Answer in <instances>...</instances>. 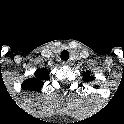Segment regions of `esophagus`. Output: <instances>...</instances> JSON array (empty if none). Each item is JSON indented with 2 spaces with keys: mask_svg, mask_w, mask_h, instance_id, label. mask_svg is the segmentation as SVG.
Masks as SVG:
<instances>
[{
  "mask_svg": "<svg viewBox=\"0 0 124 124\" xmlns=\"http://www.w3.org/2000/svg\"><path fill=\"white\" fill-rule=\"evenodd\" d=\"M62 64L70 66L72 64V61L71 60L63 61Z\"/></svg>",
  "mask_w": 124,
  "mask_h": 124,
  "instance_id": "1",
  "label": "esophagus"
}]
</instances>
